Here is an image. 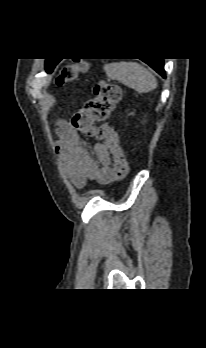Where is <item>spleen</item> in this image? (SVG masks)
<instances>
[{
    "label": "spleen",
    "instance_id": "1",
    "mask_svg": "<svg viewBox=\"0 0 206 348\" xmlns=\"http://www.w3.org/2000/svg\"><path fill=\"white\" fill-rule=\"evenodd\" d=\"M109 79L119 81L138 93H149L157 87V79L137 62H116L105 65Z\"/></svg>",
    "mask_w": 206,
    "mask_h": 348
}]
</instances>
